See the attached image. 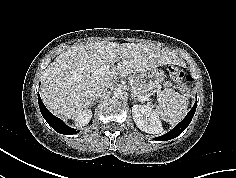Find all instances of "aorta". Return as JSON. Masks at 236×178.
Instances as JSON below:
<instances>
[{
	"mask_svg": "<svg viewBox=\"0 0 236 178\" xmlns=\"http://www.w3.org/2000/svg\"><path fill=\"white\" fill-rule=\"evenodd\" d=\"M113 95L115 98L122 99L124 96V91L121 88H115Z\"/></svg>",
	"mask_w": 236,
	"mask_h": 178,
	"instance_id": "obj_1",
	"label": "aorta"
}]
</instances>
